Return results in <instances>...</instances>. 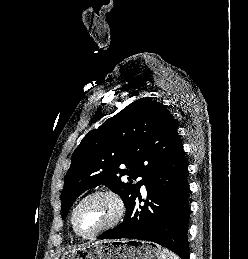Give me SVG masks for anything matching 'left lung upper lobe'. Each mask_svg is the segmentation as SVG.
Segmentation results:
<instances>
[{
	"label": "left lung upper lobe",
	"instance_id": "left-lung-upper-lobe-1",
	"mask_svg": "<svg viewBox=\"0 0 248 259\" xmlns=\"http://www.w3.org/2000/svg\"><path fill=\"white\" fill-rule=\"evenodd\" d=\"M181 144L165 105L150 98L132 102L91 130L74 151L61 194L62 218L81 193L100 184L119 194L127 209L151 172Z\"/></svg>",
	"mask_w": 248,
	"mask_h": 259
}]
</instances>
